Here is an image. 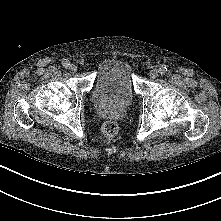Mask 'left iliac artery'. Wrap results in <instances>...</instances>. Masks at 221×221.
Masks as SVG:
<instances>
[{"mask_svg":"<svg viewBox=\"0 0 221 221\" xmlns=\"http://www.w3.org/2000/svg\"><path fill=\"white\" fill-rule=\"evenodd\" d=\"M167 72H168V69H167L166 66H161V67L159 68V73H160L161 75H165Z\"/></svg>","mask_w":221,"mask_h":221,"instance_id":"44dca946","label":"left iliac artery"}]
</instances>
